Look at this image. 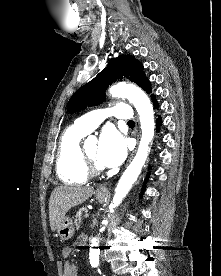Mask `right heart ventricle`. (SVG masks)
Wrapping results in <instances>:
<instances>
[{
    "label": "right heart ventricle",
    "mask_w": 221,
    "mask_h": 276,
    "mask_svg": "<svg viewBox=\"0 0 221 276\" xmlns=\"http://www.w3.org/2000/svg\"><path fill=\"white\" fill-rule=\"evenodd\" d=\"M86 134L72 126L62 134L56 159V172L67 184H83L89 178L80 142Z\"/></svg>",
    "instance_id": "right-heart-ventricle-1"
}]
</instances>
